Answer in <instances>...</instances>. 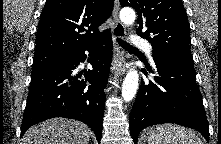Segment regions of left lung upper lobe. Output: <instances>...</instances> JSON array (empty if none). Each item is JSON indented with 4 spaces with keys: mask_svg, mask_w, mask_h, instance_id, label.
<instances>
[{
    "mask_svg": "<svg viewBox=\"0 0 221 144\" xmlns=\"http://www.w3.org/2000/svg\"><path fill=\"white\" fill-rule=\"evenodd\" d=\"M138 13L136 32L153 47V58L193 65L190 26L181 0H120Z\"/></svg>",
    "mask_w": 221,
    "mask_h": 144,
    "instance_id": "5c2ea615",
    "label": "left lung upper lobe"
}]
</instances>
